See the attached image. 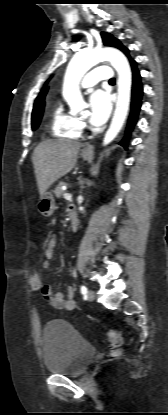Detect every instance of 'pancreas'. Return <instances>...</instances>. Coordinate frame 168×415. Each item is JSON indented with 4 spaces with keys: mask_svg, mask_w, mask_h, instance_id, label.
Masks as SVG:
<instances>
[{
    "mask_svg": "<svg viewBox=\"0 0 168 415\" xmlns=\"http://www.w3.org/2000/svg\"><path fill=\"white\" fill-rule=\"evenodd\" d=\"M67 185L65 182H60L57 187L54 190V193L56 197L60 198L64 195V190L62 189V186Z\"/></svg>",
    "mask_w": 168,
    "mask_h": 415,
    "instance_id": "obj_1",
    "label": "pancreas"
}]
</instances>
